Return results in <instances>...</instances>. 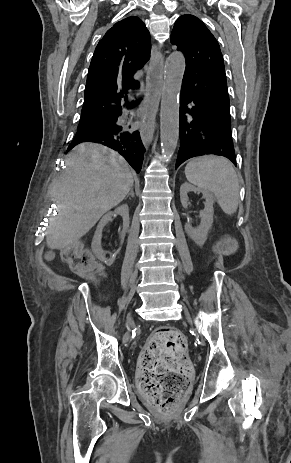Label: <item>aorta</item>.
Masks as SVG:
<instances>
[{"label": "aorta", "mask_w": 291, "mask_h": 463, "mask_svg": "<svg viewBox=\"0 0 291 463\" xmlns=\"http://www.w3.org/2000/svg\"><path fill=\"white\" fill-rule=\"evenodd\" d=\"M185 58L181 53L168 57L165 65V83L160 110V139L164 158H171L179 137V93L185 71Z\"/></svg>", "instance_id": "aorta-1"}]
</instances>
